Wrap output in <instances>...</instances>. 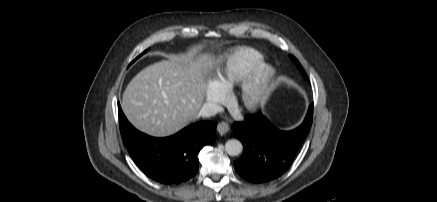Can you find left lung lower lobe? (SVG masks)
<instances>
[{"mask_svg": "<svg viewBox=\"0 0 437 202\" xmlns=\"http://www.w3.org/2000/svg\"><path fill=\"white\" fill-rule=\"evenodd\" d=\"M313 119V104L303 123L294 130L275 128L261 113L233 124L234 135L244 146L234 162L236 172L253 183H263L281 176L292 163Z\"/></svg>", "mask_w": 437, "mask_h": 202, "instance_id": "obj_1", "label": "left lung lower lobe"}]
</instances>
